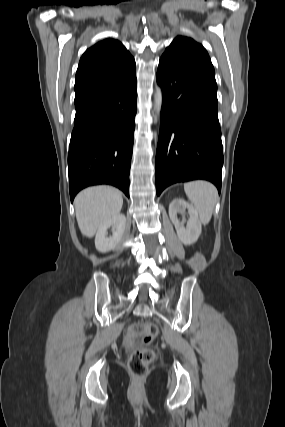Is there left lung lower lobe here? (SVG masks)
Listing matches in <instances>:
<instances>
[{
  "instance_id": "obj_1",
  "label": "left lung lower lobe",
  "mask_w": 285,
  "mask_h": 427,
  "mask_svg": "<svg viewBox=\"0 0 285 427\" xmlns=\"http://www.w3.org/2000/svg\"><path fill=\"white\" fill-rule=\"evenodd\" d=\"M162 88L156 193L176 182L205 179L220 193L223 165L217 88L160 59Z\"/></svg>"
}]
</instances>
